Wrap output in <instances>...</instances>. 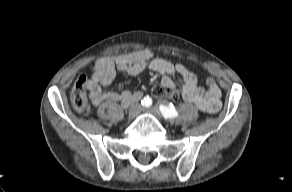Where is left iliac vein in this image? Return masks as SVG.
Instances as JSON below:
<instances>
[{"label": "left iliac vein", "mask_w": 292, "mask_h": 192, "mask_svg": "<svg viewBox=\"0 0 292 192\" xmlns=\"http://www.w3.org/2000/svg\"><path fill=\"white\" fill-rule=\"evenodd\" d=\"M145 112L150 113L154 115L158 120H162V116L156 107H150V108H145L143 109Z\"/></svg>", "instance_id": "1"}]
</instances>
